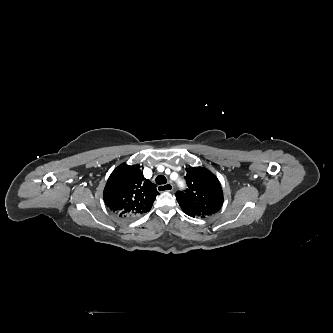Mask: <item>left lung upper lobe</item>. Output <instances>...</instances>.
<instances>
[{
    "label": "left lung upper lobe",
    "instance_id": "1",
    "mask_svg": "<svg viewBox=\"0 0 333 333\" xmlns=\"http://www.w3.org/2000/svg\"><path fill=\"white\" fill-rule=\"evenodd\" d=\"M186 172L188 189L176 193L183 212L191 217L204 218L219 211L223 193L217 177L203 167H190Z\"/></svg>",
    "mask_w": 333,
    "mask_h": 333
}]
</instances>
